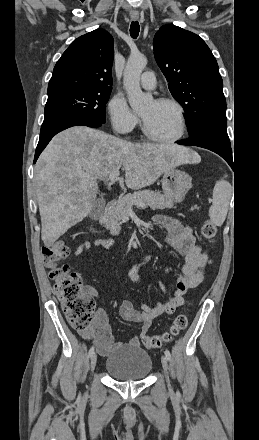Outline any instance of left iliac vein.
Returning <instances> with one entry per match:
<instances>
[{
    "mask_svg": "<svg viewBox=\"0 0 259 440\" xmlns=\"http://www.w3.org/2000/svg\"><path fill=\"white\" fill-rule=\"evenodd\" d=\"M161 363H162V367H163L164 372H165L166 377H167L168 386L170 387V380H169V376H168V359H167L166 355L162 356Z\"/></svg>",
    "mask_w": 259,
    "mask_h": 440,
    "instance_id": "1",
    "label": "left iliac vein"
}]
</instances>
